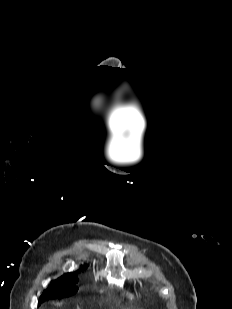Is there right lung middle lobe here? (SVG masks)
<instances>
[{"mask_svg": "<svg viewBox=\"0 0 232 309\" xmlns=\"http://www.w3.org/2000/svg\"><path fill=\"white\" fill-rule=\"evenodd\" d=\"M76 283H63L58 286L51 284L47 290H45L39 298L40 305L42 302L48 299H54L58 296H70L77 292Z\"/></svg>", "mask_w": 232, "mask_h": 309, "instance_id": "1", "label": "right lung middle lobe"}]
</instances>
